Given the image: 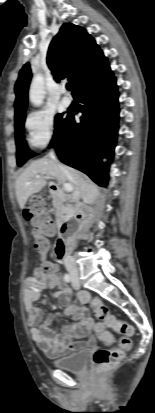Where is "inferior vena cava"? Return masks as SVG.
Here are the masks:
<instances>
[{
  "label": "inferior vena cava",
  "mask_w": 155,
  "mask_h": 413,
  "mask_svg": "<svg viewBox=\"0 0 155 413\" xmlns=\"http://www.w3.org/2000/svg\"><path fill=\"white\" fill-rule=\"evenodd\" d=\"M49 158L57 165L58 169L60 170V172L65 175L71 182H73L75 184V190L73 192L72 195V199L74 202L79 203V199L81 197V192L79 189V186L77 185V183L74 181L71 172L68 170V168L64 165H62L56 158L55 156V151L53 149L50 150L49 152ZM64 263L65 266L67 268V270L70 273H74L76 274L78 272L77 270V266L75 264L74 259L70 256V255H66L64 258Z\"/></svg>",
  "instance_id": "inferior-vena-cava-1"
}]
</instances>
